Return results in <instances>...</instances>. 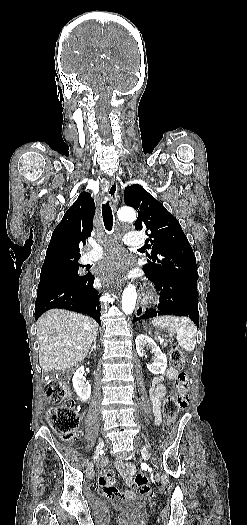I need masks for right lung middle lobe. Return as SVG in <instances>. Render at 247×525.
Masks as SVG:
<instances>
[{
    "instance_id": "1",
    "label": "right lung middle lobe",
    "mask_w": 247,
    "mask_h": 525,
    "mask_svg": "<svg viewBox=\"0 0 247 525\" xmlns=\"http://www.w3.org/2000/svg\"><path fill=\"white\" fill-rule=\"evenodd\" d=\"M81 265L78 260L64 262L41 270L38 290L45 286L62 281H76L84 276H79L78 270Z\"/></svg>"
}]
</instances>
